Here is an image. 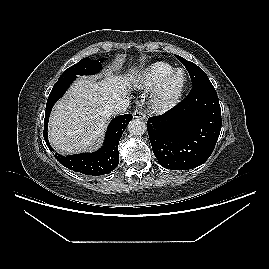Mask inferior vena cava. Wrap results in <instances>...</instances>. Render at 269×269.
Wrapping results in <instances>:
<instances>
[{"label": "inferior vena cava", "instance_id": "inferior-vena-cava-1", "mask_svg": "<svg viewBox=\"0 0 269 269\" xmlns=\"http://www.w3.org/2000/svg\"><path fill=\"white\" fill-rule=\"evenodd\" d=\"M130 101L128 99H120L118 102L114 103L112 106L108 107V112L111 115L123 114L127 111Z\"/></svg>", "mask_w": 269, "mask_h": 269}]
</instances>
